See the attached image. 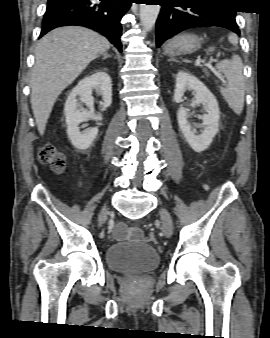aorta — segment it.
Returning a JSON list of instances; mask_svg holds the SVG:
<instances>
[{"label": "aorta", "mask_w": 270, "mask_h": 338, "mask_svg": "<svg viewBox=\"0 0 270 338\" xmlns=\"http://www.w3.org/2000/svg\"><path fill=\"white\" fill-rule=\"evenodd\" d=\"M159 12V5H140V21L146 31H150L154 27Z\"/></svg>", "instance_id": "obj_1"}]
</instances>
